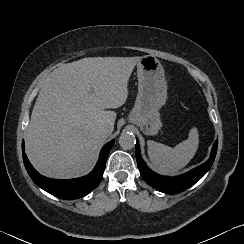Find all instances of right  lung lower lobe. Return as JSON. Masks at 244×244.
Listing matches in <instances>:
<instances>
[{
	"label": "right lung lower lobe",
	"mask_w": 244,
	"mask_h": 244,
	"mask_svg": "<svg viewBox=\"0 0 244 244\" xmlns=\"http://www.w3.org/2000/svg\"><path fill=\"white\" fill-rule=\"evenodd\" d=\"M113 144L114 140L102 148L95 168L87 176L76 179L55 180L39 174L30 164L24 152V143H22L23 161L29 176L36 185L58 198L72 200L86 196L98 186L103 177L106 160Z\"/></svg>",
	"instance_id": "obj_1"
}]
</instances>
